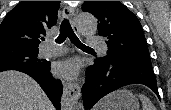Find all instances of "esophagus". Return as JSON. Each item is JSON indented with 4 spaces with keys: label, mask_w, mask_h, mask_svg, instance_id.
<instances>
[{
    "label": "esophagus",
    "mask_w": 171,
    "mask_h": 110,
    "mask_svg": "<svg viewBox=\"0 0 171 110\" xmlns=\"http://www.w3.org/2000/svg\"><path fill=\"white\" fill-rule=\"evenodd\" d=\"M64 17L70 20L71 26L75 32H78L76 23V11L66 6L63 10ZM80 97V87L77 83L66 82L64 83V92L61 99V107L64 110H70L77 105Z\"/></svg>",
    "instance_id": "esophagus-1"
}]
</instances>
